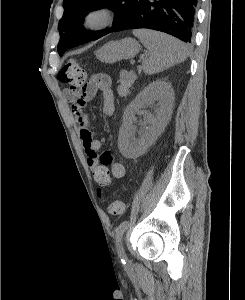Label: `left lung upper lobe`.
<instances>
[{"mask_svg":"<svg viewBox=\"0 0 245 300\" xmlns=\"http://www.w3.org/2000/svg\"><path fill=\"white\" fill-rule=\"evenodd\" d=\"M135 0H64V14L59 21L58 30L60 41L58 53L60 55L69 48L78 46L94 39L99 35H105L110 29L119 24L132 10ZM108 8L115 13L112 27L108 30L87 32L80 24L83 17L90 11Z\"/></svg>","mask_w":245,"mask_h":300,"instance_id":"left-lung-upper-lobe-1","label":"left lung upper lobe"}]
</instances>
